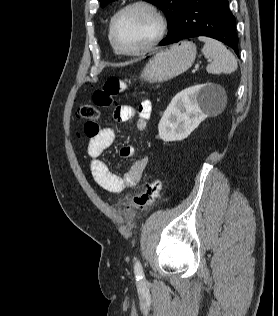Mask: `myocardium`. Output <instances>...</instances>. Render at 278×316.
Segmentation results:
<instances>
[{
	"label": "myocardium",
	"mask_w": 278,
	"mask_h": 316,
	"mask_svg": "<svg viewBox=\"0 0 278 316\" xmlns=\"http://www.w3.org/2000/svg\"><path fill=\"white\" fill-rule=\"evenodd\" d=\"M136 8H141L146 11H148L153 18L155 19L156 22V32L153 36V38L146 43L145 45L134 49V50H125L120 45L118 44L115 36V26L116 22L119 19L121 15L126 13L129 10L136 9ZM167 29V23L166 20L161 13V11L150 1L147 0H135L132 2L127 3L126 5L122 6L111 18L110 24H109V37L111 44L115 51L119 54L126 55V56H137L142 53H145L152 49L154 46H156L164 37L165 32Z\"/></svg>",
	"instance_id": "obj_1"
}]
</instances>
